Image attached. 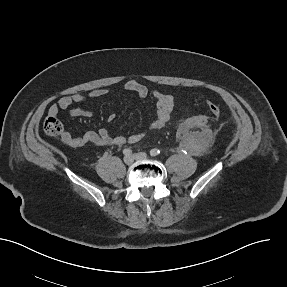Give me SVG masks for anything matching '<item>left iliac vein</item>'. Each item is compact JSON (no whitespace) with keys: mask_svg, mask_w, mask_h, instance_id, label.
Instances as JSON below:
<instances>
[{"mask_svg":"<svg viewBox=\"0 0 287 287\" xmlns=\"http://www.w3.org/2000/svg\"><path fill=\"white\" fill-rule=\"evenodd\" d=\"M133 158L135 160H144L147 158V154L145 152H141V153H136L133 155Z\"/></svg>","mask_w":287,"mask_h":287,"instance_id":"left-iliac-vein-1","label":"left iliac vein"}]
</instances>
